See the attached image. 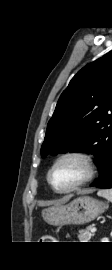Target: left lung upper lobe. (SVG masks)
I'll return each mask as SVG.
<instances>
[{"mask_svg":"<svg viewBox=\"0 0 112 270\" xmlns=\"http://www.w3.org/2000/svg\"><path fill=\"white\" fill-rule=\"evenodd\" d=\"M93 152L101 170L112 151V50L83 67L61 94L41 155Z\"/></svg>","mask_w":112,"mask_h":270,"instance_id":"1","label":"left lung upper lobe"}]
</instances>
